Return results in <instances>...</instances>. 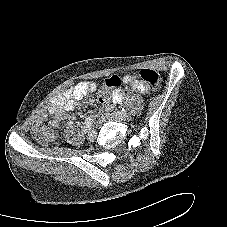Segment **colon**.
Here are the masks:
<instances>
[{
  "label": "colon",
  "mask_w": 227,
  "mask_h": 227,
  "mask_svg": "<svg viewBox=\"0 0 227 227\" xmlns=\"http://www.w3.org/2000/svg\"><path fill=\"white\" fill-rule=\"evenodd\" d=\"M137 77L144 81L152 90H159L162 87L161 75L153 69H141L137 72ZM124 77L121 75H112L105 80V86L107 88L119 86ZM103 98V97H101ZM33 137L40 143H45L50 135L46 130L36 131L33 133Z\"/></svg>",
  "instance_id": "obj_1"
}]
</instances>
